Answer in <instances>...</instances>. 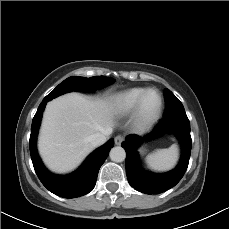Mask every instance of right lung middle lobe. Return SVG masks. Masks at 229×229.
Masks as SVG:
<instances>
[{
  "mask_svg": "<svg viewBox=\"0 0 229 229\" xmlns=\"http://www.w3.org/2000/svg\"><path fill=\"white\" fill-rule=\"evenodd\" d=\"M115 80L105 76H95L91 78L71 76L60 83L51 93H49L44 100L50 101L59 95L71 91H93L98 88L110 85Z\"/></svg>",
  "mask_w": 229,
  "mask_h": 229,
  "instance_id": "obj_1",
  "label": "right lung middle lobe"
}]
</instances>
